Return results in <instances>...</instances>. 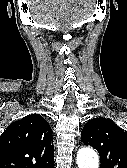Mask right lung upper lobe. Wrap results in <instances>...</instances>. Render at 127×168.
Instances as JSON below:
<instances>
[{
  "label": "right lung upper lobe",
  "mask_w": 127,
  "mask_h": 168,
  "mask_svg": "<svg viewBox=\"0 0 127 168\" xmlns=\"http://www.w3.org/2000/svg\"><path fill=\"white\" fill-rule=\"evenodd\" d=\"M52 129L39 114L11 123L0 136V168H53Z\"/></svg>",
  "instance_id": "cb5924a9"
}]
</instances>
